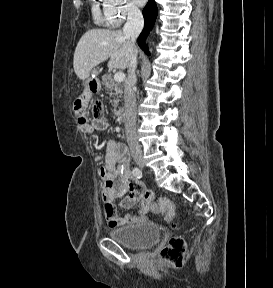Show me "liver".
Returning a JSON list of instances; mask_svg holds the SVG:
<instances>
[{"instance_id": "1", "label": "liver", "mask_w": 273, "mask_h": 288, "mask_svg": "<svg viewBox=\"0 0 273 288\" xmlns=\"http://www.w3.org/2000/svg\"><path fill=\"white\" fill-rule=\"evenodd\" d=\"M107 59L110 69L128 68L131 59L129 38L121 30H88L76 46L74 71L79 79L85 80L95 66Z\"/></svg>"}]
</instances>
